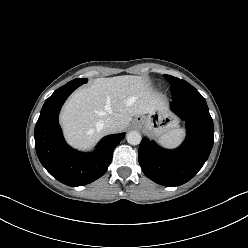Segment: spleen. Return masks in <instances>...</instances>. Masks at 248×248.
Masks as SVG:
<instances>
[{
	"mask_svg": "<svg viewBox=\"0 0 248 248\" xmlns=\"http://www.w3.org/2000/svg\"><path fill=\"white\" fill-rule=\"evenodd\" d=\"M184 137V130L182 128L173 129L162 135L159 142L165 147H175Z\"/></svg>",
	"mask_w": 248,
	"mask_h": 248,
	"instance_id": "obj_1",
	"label": "spleen"
}]
</instances>
